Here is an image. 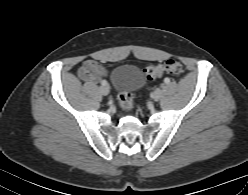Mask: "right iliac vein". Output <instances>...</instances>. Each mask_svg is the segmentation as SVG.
Returning <instances> with one entry per match:
<instances>
[{
  "label": "right iliac vein",
  "instance_id": "1",
  "mask_svg": "<svg viewBox=\"0 0 248 195\" xmlns=\"http://www.w3.org/2000/svg\"><path fill=\"white\" fill-rule=\"evenodd\" d=\"M99 90H100L101 94H103V95L109 94V87L107 85L101 86Z\"/></svg>",
  "mask_w": 248,
  "mask_h": 195
}]
</instances>
